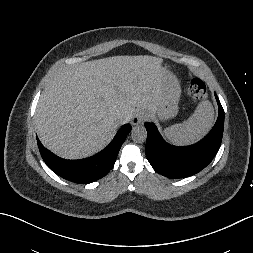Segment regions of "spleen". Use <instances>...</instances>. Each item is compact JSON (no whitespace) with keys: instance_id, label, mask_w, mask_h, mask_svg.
<instances>
[{"instance_id":"1","label":"spleen","mask_w":253,"mask_h":253,"mask_svg":"<svg viewBox=\"0 0 253 253\" xmlns=\"http://www.w3.org/2000/svg\"><path fill=\"white\" fill-rule=\"evenodd\" d=\"M214 123V108L207 101H201L194 113L184 122L171 125L163 132L164 137L174 145L185 146L202 139Z\"/></svg>"}]
</instances>
